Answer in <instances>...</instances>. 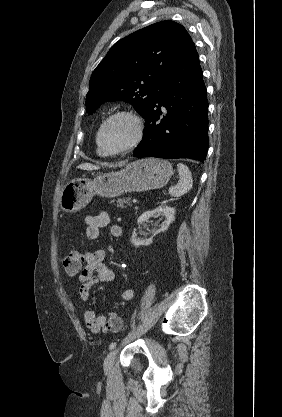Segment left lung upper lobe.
<instances>
[{"instance_id":"obj_1","label":"left lung upper lobe","mask_w":282,"mask_h":417,"mask_svg":"<svg viewBox=\"0 0 282 417\" xmlns=\"http://www.w3.org/2000/svg\"><path fill=\"white\" fill-rule=\"evenodd\" d=\"M192 43L185 28L173 21L157 22L119 40L90 78L86 111L92 114L104 102L125 100L145 117L166 73Z\"/></svg>"}]
</instances>
